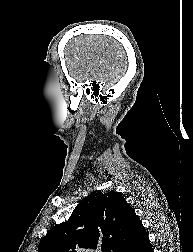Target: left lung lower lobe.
<instances>
[{
	"label": "left lung lower lobe",
	"instance_id": "obj_1",
	"mask_svg": "<svg viewBox=\"0 0 193 252\" xmlns=\"http://www.w3.org/2000/svg\"><path fill=\"white\" fill-rule=\"evenodd\" d=\"M125 252H153L149 237L141 222L136 226Z\"/></svg>",
	"mask_w": 193,
	"mask_h": 252
}]
</instances>
